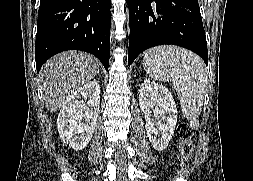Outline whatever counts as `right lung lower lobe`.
<instances>
[{"instance_id":"1","label":"right lung lower lobe","mask_w":253,"mask_h":181,"mask_svg":"<svg viewBox=\"0 0 253 181\" xmlns=\"http://www.w3.org/2000/svg\"><path fill=\"white\" fill-rule=\"evenodd\" d=\"M111 0H40L35 60L37 72L53 55L81 50L108 71Z\"/></svg>"}]
</instances>
